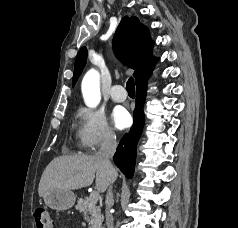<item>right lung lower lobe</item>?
<instances>
[{"label":"right lung lower lobe","instance_id":"obj_1","mask_svg":"<svg viewBox=\"0 0 238 228\" xmlns=\"http://www.w3.org/2000/svg\"><path fill=\"white\" fill-rule=\"evenodd\" d=\"M148 76L136 85V106L134 110V123L129 132L125 134L114 155L116 166L127 178H132L135 158L136 144L140 138L144 125L143 105L146 98Z\"/></svg>","mask_w":238,"mask_h":228}]
</instances>
